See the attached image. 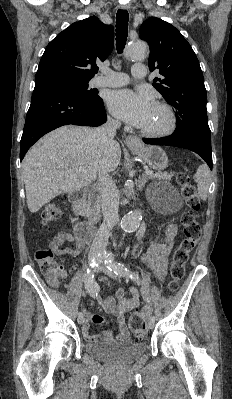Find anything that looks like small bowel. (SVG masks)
<instances>
[{
  "mask_svg": "<svg viewBox=\"0 0 232 399\" xmlns=\"http://www.w3.org/2000/svg\"><path fill=\"white\" fill-rule=\"evenodd\" d=\"M142 241L143 240L141 238H138L135 241V245H140ZM149 241L151 242L153 247L150 253L146 256V261L155 264L158 268L159 275L163 276L167 270L166 252L156 245L157 239L155 235L151 236ZM84 247V242H76L73 246L65 245L62 243H54L52 245V249L55 254H67L72 257H76L79 252L84 249ZM102 282L107 287L111 286V282L107 278H102ZM129 295L130 298H125L124 290L119 289L117 291V296L119 298L118 302L114 301L111 297L99 298L100 303L109 313H114L119 322V331L108 334L109 339L112 341H119L129 335L130 329L124 324V314L126 311L139 306V290L136 287H131L129 289ZM82 312L89 320V322L81 324L79 326V331L83 334L89 345H98L99 338L97 335L91 332L92 328L90 323H100L103 321V318L98 314L92 313L85 306L82 307Z\"/></svg>",
  "mask_w": 232,
  "mask_h": 399,
  "instance_id": "obj_1",
  "label": "small bowel"
}]
</instances>
